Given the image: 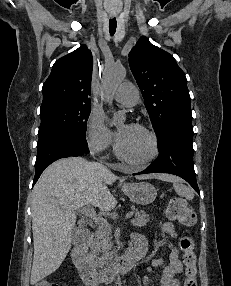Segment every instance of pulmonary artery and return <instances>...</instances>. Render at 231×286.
<instances>
[{
	"instance_id": "obj_1",
	"label": "pulmonary artery",
	"mask_w": 231,
	"mask_h": 286,
	"mask_svg": "<svg viewBox=\"0 0 231 286\" xmlns=\"http://www.w3.org/2000/svg\"><path fill=\"white\" fill-rule=\"evenodd\" d=\"M114 98L120 104L126 107H132L139 100L137 88L130 82L122 83L114 94Z\"/></svg>"
}]
</instances>
